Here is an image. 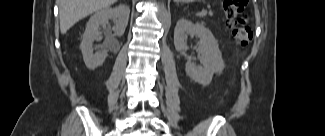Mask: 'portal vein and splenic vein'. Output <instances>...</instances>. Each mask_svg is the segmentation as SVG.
<instances>
[{
  "instance_id": "18ae733b",
  "label": "portal vein and splenic vein",
  "mask_w": 325,
  "mask_h": 136,
  "mask_svg": "<svg viewBox=\"0 0 325 136\" xmlns=\"http://www.w3.org/2000/svg\"><path fill=\"white\" fill-rule=\"evenodd\" d=\"M206 13H207V12L203 10V11L199 12L197 15H198V16H204V15H206Z\"/></svg>"
}]
</instances>
